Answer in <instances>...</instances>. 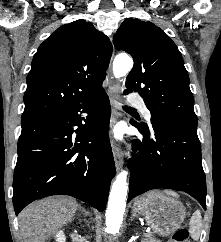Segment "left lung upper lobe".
<instances>
[{
    "label": "left lung upper lobe",
    "mask_w": 221,
    "mask_h": 242,
    "mask_svg": "<svg viewBox=\"0 0 221 242\" xmlns=\"http://www.w3.org/2000/svg\"><path fill=\"white\" fill-rule=\"evenodd\" d=\"M113 42L118 51L133 57L125 92L138 91L144 97L151 123L168 122L196 129L188 73L181 53L164 31L151 22L125 19Z\"/></svg>",
    "instance_id": "left-lung-upper-lobe-1"
}]
</instances>
